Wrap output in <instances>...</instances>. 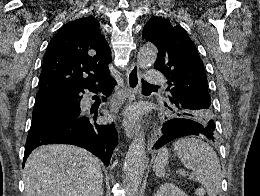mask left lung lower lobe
Returning <instances> with one entry per match:
<instances>
[{
	"mask_svg": "<svg viewBox=\"0 0 260 196\" xmlns=\"http://www.w3.org/2000/svg\"><path fill=\"white\" fill-rule=\"evenodd\" d=\"M188 135H204L209 140L215 141V123L203 125L199 122L189 119H172L162 127V136L154 145L158 149L166 143L180 137Z\"/></svg>",
	"mask_w": 260,
	"mask_h": 196,
	"instance_id": "0a47b994",
	"label": "left lung lower lobe"
}]
</instances>
